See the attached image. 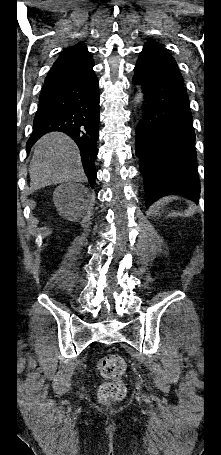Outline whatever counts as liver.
Masks as SVG:
<instances>
[{
    "label": "liver",
    "mask_w": 221,
    "mask_h": 455,
    "mask_svg": "<svg viewBox=\"0 0 221 455\" xmlns=\"http://www.w3.org/2000/svg\"><path fill=\"white\" fill-rule=\"evenodd\" d=\"M29 174L31 190L85 179L77 145L61 132L48 133L37 141Z\"/></svg>",
    "instance_id": "liver-1"
}]
</instances>
